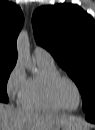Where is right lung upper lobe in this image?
Returning a JSON list of instances; mask_svg holds the SVG:
<instances>
[{"label":"right lung upper lobe","instance_id":"right-lung-upper-lobe-1","mask_svg":"<svg viewBox=\"0 0 95 130\" xmlns=\"http://www.w3.org/2000/svg\"><path fill=\"white\" fill-rule=\"evenodd\" d=\"M24 23L21 9L0 1V64L16 63V39Z\"/></svg>","mask_w":95,"mask_h":130}]
</instances>
